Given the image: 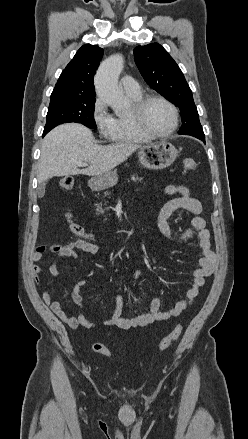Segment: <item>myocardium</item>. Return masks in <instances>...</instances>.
Instances as JSON below:
<instances>
[{
    "label": "myocardium",
    "mask_w": 248,
    "mask_h": 439,
    "mask_svg": "<svg viewBox=\"0 0 248 439\" xmlns=\"http://www.w3.org/2000/svg\"><path fill=\"white\" fill-rule=\"evenodd\" d=\"M161 101L163 103H165L171 110L172 115H173V125L172 128L163 134L160 133H156L154 131H152L146 122V118H145V114H146V109L147 106L149 105L150 102L152 101ZM133 118L135 120L136 125L138 126V128L145 133L146 135H148L151 138H168L171 135H173V133L177 130L178 128V123H179V114H178V110L176 108V106L167 98L160 96V95H147L142 97L138 102H136V104L133 107Z\"/></svg>",
    "instance_id": "myocardium-1"
}]
</instances>
